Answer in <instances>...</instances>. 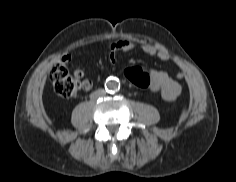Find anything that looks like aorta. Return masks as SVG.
I'll list each match as a JSON object with an SVG mask.
<instances>
[{
	"label": "aorta",
	"mask_w": 236,
	"mask_h": 182,
	"mask_svg": "<svg viewBox=\"0 0 236 182\" xmlns=\"http://www.w3.org/2000/svg\"><path fill=\"white\" fill-rule=\"evenodd\" d=\"M105 89L108 92H117L120 89V82L116 78H108L105 82Z\"/></svg>",
	"instance_id": "obj_1"
}]
</instances>
